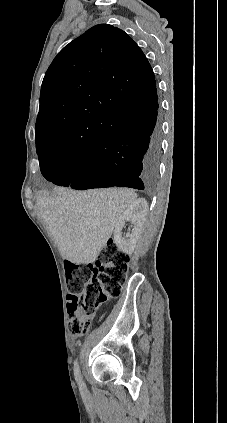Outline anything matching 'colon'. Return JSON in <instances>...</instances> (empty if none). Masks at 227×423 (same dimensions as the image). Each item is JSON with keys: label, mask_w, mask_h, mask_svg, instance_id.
<instances>
[{"label": "colon", "mask_w": 227, "mask_h": 423, "mask_svg": "<svg viewBox=\"0 0 227 423\" xmlns=\"http://www.w3.org/2000/svg\"><path fill=\"white\" fill-rule=\"evenodd\" d=\"M129 262V255L109 241L95 264H66L68 329L72 334L85 333L98 307L121 294Z\"/></svg>", "instance_id": "1"}]
</instances>
